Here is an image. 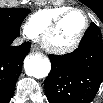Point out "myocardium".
I'll return each mask as SVG.
<instances>
[{
    "mask_svg": "<svg viewBox=\"0 0 103 103\" xmlns=\"http://www.w3.org/2000/svg\"><path fill=\"white\" fill-rule=\"evenodd\" d=\"M81 13L84 16L85 24L82 32L78 36V38L70 45L65 47H55L50 44V37L51 35L56 31V29L59 27V25L71 14L73 13ZM90 21L87 13L81 9V8H70L66 10L65 12L58 15L55 19H53L50 24L45 28L43 33L40 36V42L42 47L47 50L50 53L57 54V55H64L70 52H73L76 50L82 41L84 40L87 31L89 29Z\"/></svg>",
    "mask_w": 103,
    "mask_h": 103,
    "instance_id": "obj_1",
    "label": "myocardium"
}]
</instances>
